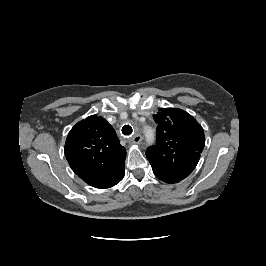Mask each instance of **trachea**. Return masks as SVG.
I'll use <instances>...</instances> for the list:
<instances>
[{"instance_id":"3493384b","label":"trachea","mask_w":266,"mask_h":266,"mask_svg":"<svg viewBox=\"0 0 266 266\" xmlns=\"http://www.w3.org/2000/svg\"><path fill=\"white\" fill-rule=\"evenodd\" d=\"M132 132H133V129H132V127L130 125H124L122 127V133L124 135H130V134H132Z\"/></svg>"}]
</instances>
